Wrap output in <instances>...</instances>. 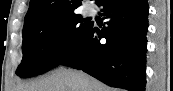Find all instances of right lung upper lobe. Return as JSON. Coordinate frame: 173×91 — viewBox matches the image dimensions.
<instances>
[{"label":"right lung upper lobe","instance_id":"cb5924a9","mask_svg":"<svg viewBox=\"0 0 173 91\" xmlns=\"http://www.w3.org/2000/svg\"><path fill=\"white\" fill-rule=\"evenodd\" d=\"M80 5V0H30L24 28L74 14Z\"/></svg>","mask_w":173,"mask_h":91}]
</instances>
